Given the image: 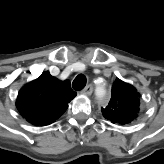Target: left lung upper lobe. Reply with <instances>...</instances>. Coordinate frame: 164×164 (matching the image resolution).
I'll return each instance as SVG.
<instances>
[{
	"instance_id": "obj_1",
	"label": "left lung upper lobe",
	"mask_w": 164,
	"mask_h": 164,
	"mask_svg": "<svg viewBox=\"0 0 164 164\" xmlns=\"http://www.w3.org/2000/svg\"><path fill=\"white\" fill-rule=\"evenodd\" d=\"M138 97L132 85L117 78L112 87L111 100L106 108H102L103 116L112 123L124 125L132 122L138 116Z\"/></svg>"
}]
</instances>
